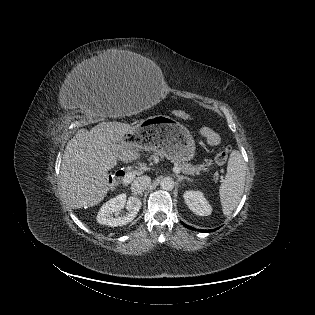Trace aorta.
I'll list each match as a JSON object with an SVG mask.
<instances>
[{"label":"aorta","instance_id":"aorta-1","mask_svg":"<svg viewBox=\"0 0 315 315\" xmlns=\"http://www.w3.org/2000/svg\"><path fill=\"white\" fill-rule=\"evenodd\" d=\"M174 180L171 177H164L160 182V187L163 190L170 191L174 188Z\"/></svg>","mask_w":315,"mask_h":315}]
</instances>
